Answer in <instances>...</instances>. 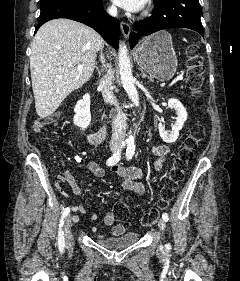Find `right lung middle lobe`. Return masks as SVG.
<instances>
[{"label":"right lung middle lobe","mask_w":240,"mask_h":281,"mask_svg":"<svg viewBox=\"0 0 240 281\" xmlns=\"http://www.w3.org/2000/svg\"><path fill=\"white\" fill-rule=\"evenodd\" d=\"M51 1H54V0H41L40 5H43V4L51 2ZM77 1H95V0H77Z\"/></svg>","instance_id":"right-lung-middle-lobe-1"}]
</instances>
